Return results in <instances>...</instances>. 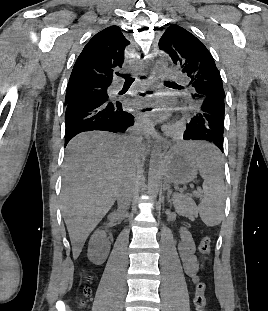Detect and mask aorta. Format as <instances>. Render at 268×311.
Listing matches in <instances>:
<instances>
[{
	"label": "aorta",
	"mask_w": 268,
	"mask_h": 311,
	"mask_svg": "<svg viewBox=\"0 0 268 311\" xmlns=\"http://www.w3.org/2000/svg\"><path fill=\"white\" fill-rule=\"evenodd\" d=\"M160 65H153L152 70L155 72L156 82L164 83L168 76V68L163 62ZM162 126V123H159ZM164 140L161 136H157L151 154L149 172H148V193L153 200L157 198L160 190V182L162 178V159L164 157Z\"/></svg>",
	"instance_id": "762f6f07"
}]
</instances>
